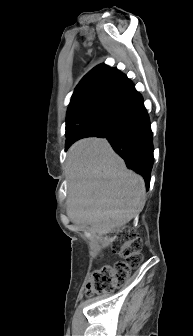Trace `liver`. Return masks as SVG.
<instances>
[{
	"label": "liver",
	"instance_id": "liver-1",
	"mask_svg": "<svg viewBox=\"0 0 193 336\" xmlns=\"http://www.w3.org/2000/svg\"><path fill=\"white\" fill-rule=\"evenodd\" d=\"M67 215L106 235L126 225L145 205V182L128 170L106 139L86 138L67 154Z\"/></svg>",
	"mask_w": 193,
	"mask_h": 336
}]
</instances>
